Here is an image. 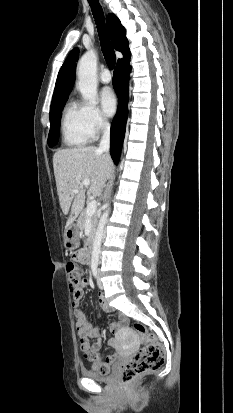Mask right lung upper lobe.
<instances>
[{
  "label": "right lung upper lobe",
  "instance_id": "right-lung-upper-lobe-1",
  "mask_svg": "<svg viewBox=\"0 0 233 413\" xmlns=\"http://www.w3.org/2000/svg\"><path fill=\"white\" fill-rule=\"evenodd\" d=\"M106 23L114 48L124 56L129 54L130 51L128 48V40L125 36V29L119 19L114 14H109L106 17ZM78 54L79 50L77 48L73 49L62 65L58 73L51 104L68 99L75 80L74 68Z\"/></svg>",
  "mask_w": 233,
  "mask_h": 413
}]
</instances>
